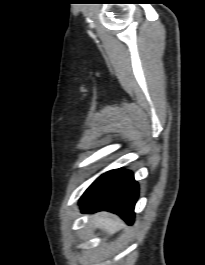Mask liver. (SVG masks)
<instances>
[{"label":"liver","instance_id":"obj_1","mask_svg":"<svg viewBox=\"0 0 205 265\" xmlns=\"http://www.w3.org/2000/svg\"><path fill=\"white\" fill-rule=\"evenodd\" d=\"M92 222L94 223L95 227L104 229L110 234L115 233L123 227V224L118 219H115L113 216L104 213L97 214L93 218Z\"/></svg>","mask_w":205,"mask_h":265}]
</instances>
